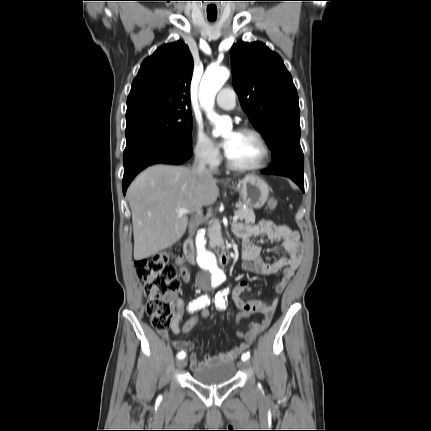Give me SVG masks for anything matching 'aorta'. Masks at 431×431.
<instances>
[{
  "label": "aorta",
  "instance_id": "obj_1",
  "mask_svg": "<svg viewBox=\"0 0 431 431\" xmlns=\"http://www.w3.org/2000/svg\"><path fill=\"white\" fill-rule=\"evenodd\" d=\"M229 78V71L225 67H208L200 83V103L205 108L208 118L215 123L214 136L225 133L229 125L213 112V104L216 93ZM208 233L205 230L197 233L196 256L197 262L207 272L210 282L221 283L225 279L224 272L218 267L215 255L207 247Z\"/></svg>",
  "mask_w": 431,
  "mask_h": 431
}]
</instances>
